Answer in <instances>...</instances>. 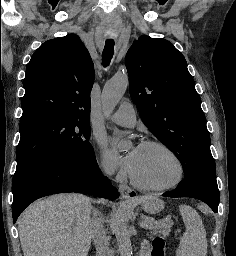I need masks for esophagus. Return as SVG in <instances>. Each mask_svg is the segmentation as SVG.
<instances>
[{"mask_svg":"<svg viewBox=\"0 0 236 256\" xmlns=\"http://www.w3.org/2000/svg\"><path fill=\"white\" fill-rule=\"evenodd\" d=\"M119 192H120L121 196L123 198H125L126 200H134L138 196L136 191H134L132 188H130V186H128L127 184H120Z\"/></svg>","mask_w":236,"mask_h":256,"instance_id":"34e87169","label":"esophagus"}]
</instances>
